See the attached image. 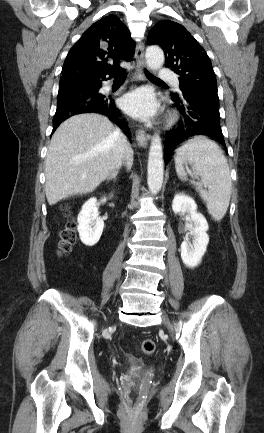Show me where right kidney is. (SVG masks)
I'll list each match as a JSON object with an SVG mask.
<instances>
[{
  "label": "right kidney",
  "instance_id": "obj_1",
  "mask_svg": "<svg viewBox=\"0 0 264 433\" xmlns=\"http://www.w3.org/2000/svg\"><path fill=\"white\" fill-rule=\"evenodd\" d=\"M79 237L87 246L95 245L103 232L104 221L99 217L97 199L90 198L84 203L77 218Z\"/></svg>",
  "mask_w": 264,
  "mask_h": 433
}]
</instances>
